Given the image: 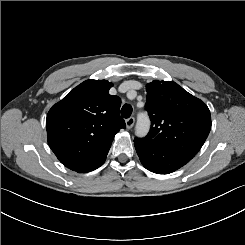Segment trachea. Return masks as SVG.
<instances>
[{
    "mask_svg": "<svg viewBox=\"0 0 245 245\" xmlns=\"http://www.w3.org/2000/svg\"><path fill=\"white\" fill-rule=\"evenodd\" d=\"M131 114H132V106L130 104L123 105L121 109V115L124 118H129Z\"/></svg>",
    "mask_w": 245,
    "mask_h": 245,
    "instance_id": "1",
    "label": "trachea"
}]
</instances>
